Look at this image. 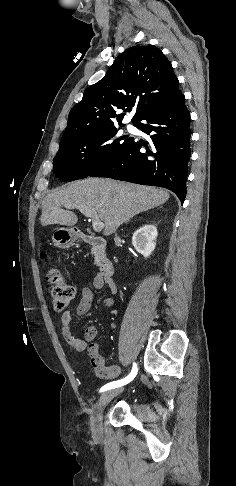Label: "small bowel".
Instances as JSON below:
<instances>
[{"label": "small bowel", "mask_w": 236, "mask_h": 486, "mask_svg": "<svg viewBox=\"0 0 236 486\" xmlns=\"http://www.w3.org/2000/svg\"><path fill=\"white\" fill-rule=\"evenodd\" d=\"M94 287L102 288L105 284L108 285L112 293L116 292V286L112 280H105L100 275H96L93 281ZM93 301V293L87 288L83 287L81 290V299L76 307V314L78 316L85 315L91 308ZM106 306L112 304V299L107 298L104 301ZM72 313L65 311L61 315L62 334L69 346L76 352H87L90 357L92 366L101 379L110 380L117 377L120 373L118 365L107 366L103 357L99 353L98 345L93 343L97 335V329L93 325L86 327L84 332V339L78 338L71 329Z\"/></svg>", "instance_id": "obj_1"}]
</instances>
